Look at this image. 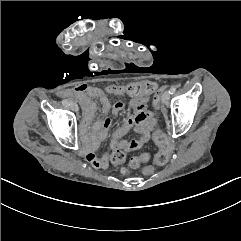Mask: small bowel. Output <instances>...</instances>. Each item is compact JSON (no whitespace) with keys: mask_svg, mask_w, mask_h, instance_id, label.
<instances>
[{"mask_svg":"<svg viewBox=\"0 0 241 241\" xmlns=\"http://www.w3.org/2000/svg\"><path fill=\"white\" fill-rule=\"evenodd\" d=\"M108 95H128L131 98L129 105L134 111V114L131 117L125 119L112 132V140L109 146L111 153L115 150H121L124 153H127L143 148L148 143L151 134L157 125V119L154 113L148 110V98L150 93L144 94L140 98H135L131 94H125L122 91V85L115 84L107 86L105 90L81 84L63 93V96L74 97L83 104L85 111V128L82 131V136L85 140L89 141L92 147L96 146L107 136L111 127V119L107 116H105L101 122L96 123L93 126L91 125L95 111V104L92 99L99 100L104 114H107L112 110L114 115H118L125 108V103L122 101H116L111 104ZM131 129H134L139 134V137L132 140H123L122 137ZM85 159L95 168H107L110 155L106 154L102 157H98L94 152L88 151L85 153Z\"/></svg>","mask_w":241,"mask_h":241,"instance_id":"obj_1","label":"small bowel"}]
</instances>
